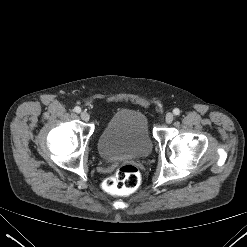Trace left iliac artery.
<instances>
[{"label":"left iliac artery","mask_w":247,"mask_h":247,"mask_svg":"<svg viewBox=\"0 0 247 247\" xmlns=\"http://www.w3.org/2000/svg\"><path fill=\"white\" fill-rule=\"evenodd\" d=\"M173 113H174L175 115H179V114H180V110H179L178 108H175V109L173 110Z\"/></svg>","instance_id":"obj_1"}]
</instances>
